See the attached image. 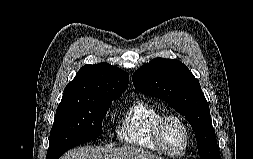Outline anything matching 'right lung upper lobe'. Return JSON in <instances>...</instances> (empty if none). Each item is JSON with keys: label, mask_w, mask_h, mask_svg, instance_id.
Masks as SVG:
<instances>
[{"label": "right lung upper lobe", "mask_w": 253, "mask_h": 159, "mask_svg": "<svg viewBox=\"0 0 253 159\" xmlns=\"http://www.w3.org/2000/svg\"><path fill=\"white\" fill-rule=\"evenodd\" d=\"M128 81V73L108 63L85 65L66 86L62 100L119 98L127 88Z\"/></svg>", "instance_id": "obj_1"}]
</instances>
